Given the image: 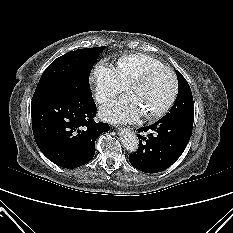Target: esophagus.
I'll list each match as a JSON object with an SVG mask.
<instances>
[{
	"label": "esophagus",
	"mask_w": 233,
	"mask_h": 233,
	"mask_svg": "<svg viewBox=\"0 0 233 233\" xmlns=\"http://www.w3.org/2000/svg\"><path fill=\"white\" fill-rule=\"evenodd\" d=\"M129 130H131V131H133L134 130V128H132V127H130V128H128Z\"/></svg>",
	"instance_id": "34e87169"
}]
</instances>
